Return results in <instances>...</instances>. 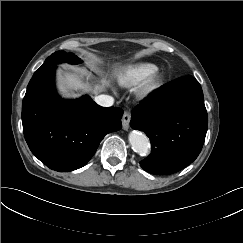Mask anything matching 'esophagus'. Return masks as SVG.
Masks as SVG:
<instances>
[{"label":"esophagus","instance_id":"obj_1","mask_svg":"<svg viewBox=\"0 0 243 243\" xmlns=\"http://www.w3.org/2000/svg\"><path fill=\"white\" fill-rule=\"evenodd\" d=\"M131 119V114L129 111H124L123 117H122V125L125 130L129 128V123Z\"/></svg>","mask_w":243,"mask_h":243}]
</instances>
